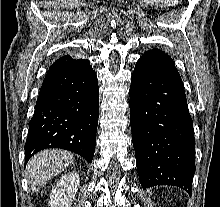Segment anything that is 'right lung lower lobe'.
Instances as JSON below:
<instances>
[{"mask_svg": "<svg viewBox=\"0 0 220 207\" xmlns=\"http://www.w3.org/2000/svg\"><path fill=\"white\" fill-rule=\"evenodd\" d=\"M99 90L88 60L69 55L49 68L25 144V164L46 148L69 150L92 162L99 117Z\"/></svg>", "mask_w": 220, "mask_h": 207, "instance_id": "right-lung-lower-lobe-1", "label": "right lung lower lobe"}]
</instances>
